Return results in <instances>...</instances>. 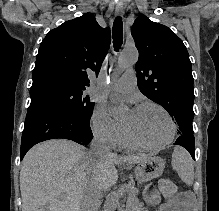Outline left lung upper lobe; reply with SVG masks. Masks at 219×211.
Masks as SVG:
<instances>
[{
  "label": "left lung upper lobe",
  "instance_id": "obj_1",
  "mask_svg": "<svg viewBox=\"0 0 219 211\" xmlns=\"http://www.w3.org/2000/svg\"><path fill=\"white\" fill-rule=\"evenodd\" d=\"M131 34L139 51L138 88L175 119L179 135H193V76L184 43L167 26L146 16L135 20Z\"/></svg>",
  "mask_w": 219,
  "mask_h": 211
}]
</instances>
